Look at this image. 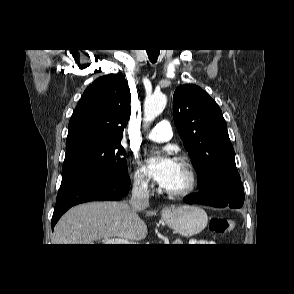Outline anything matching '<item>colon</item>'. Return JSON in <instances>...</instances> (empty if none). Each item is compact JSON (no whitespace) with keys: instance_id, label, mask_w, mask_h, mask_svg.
<instances>
[{"instance_id":"5ec220e1","label":"colon","mask_w":294,"mask_h":294,"mask_svg":"<svg viewBox=\"0 0 294 294\" xmlns=\"http://www.w3.org/2000/svg\"><path fill=\"white\" fill-rule=\"evenodd\" d=\"M235 227V221L221 217L213 218L209 223L210 230L216 234L230 233Z\"/></svg>"}]
</instances>
